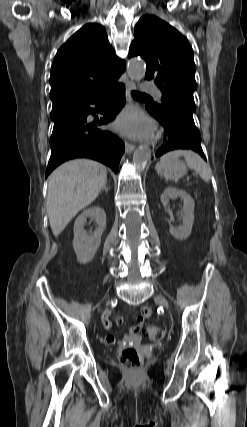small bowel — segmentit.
I'll return each instance as SVG.
<instances>
[{"label":"small bowel","mask_w":247,"mask_h":427,"mask_svg":"<svg viewBox=\"0 0 247 427\" xmlns=\"http://www.w3.org/2000/svg\"><path fill=\"white\" fill-rule=\"evenodd\" d=\"M151 315V310L148 307H144L141 310V314L136 318L135 324L130 328L129 333L124 336V342H138L140 340V331L142 329L144 320ZM115 322L117 325H121L123 323V317L118 315L115 318ZM102 324L106 330H109L112 327V322L109 318V315L106 314L102 318ZM105 342L107 344H113L116 342V338L113 335H108L105 338Z\"/></svg>","instance_id":"c3829d8e"}]
</instances>
